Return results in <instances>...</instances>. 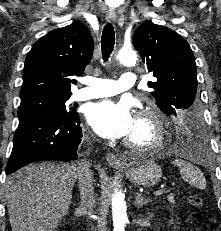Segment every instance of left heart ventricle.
Masks as SVG:
<instances>
[{
    "label": "left heart ventricle",
    "instance_id": "left-heart-ventricle-1",
    "mask_svg": "<svg viewBox=\"0 0 221 231\" xmlns=\"http://www.w3.org/2000/svg\"><path fill=\"white\" fill-rule=\"evenodd\" d=\"M152 137V130L146 124L135 121V126L133 131L128 135V138L137 142H146Z\"/></svg>",
    "mask_w": 221,
    "mask_h": 231
}]
</instances>
